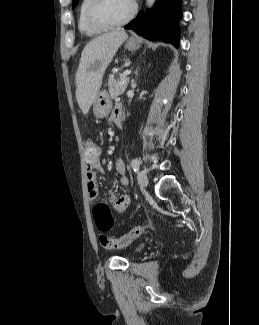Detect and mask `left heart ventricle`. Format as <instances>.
<instances>
[{
	"label": "left heart ventricle",
	"mask_w": 259,
	"mask_h": 325,
	"mask_svg": "<svg viewBox=\"0 0 259 325\" xmlns=\"http://www.w3.org/2000/svg\"><path fill=\"white\" fill-rule=\"evenodd\" d=\"M131 6L130 0H105L102 14L110 20H119L129 13Z\"/></svg>",
	"instance_id": "left-heart-ventricle-1"
}]
</instances>
